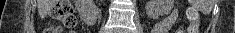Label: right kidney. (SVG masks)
<instances>
[{
  "instance_id": "ca27d5eb",
  "label": "right kidney",
  "mask_w": 235,
  "mask_h": 33,
  "mask_svg": "<svg viewBox=\"0 0 235 33\" xmlns=\"http://www.w3.org/2000/svg\"><path fill=\"white\" fill-rule=\"evenodd\" d=\"M87 0H77L76 6L80 12V15L87 19L88 22H94L97 19L99 11L95 9L92 13L84 12L83 8L86 5Z\"/></svg>"
}]
</instances>
